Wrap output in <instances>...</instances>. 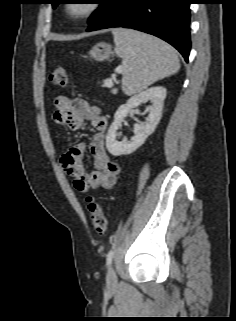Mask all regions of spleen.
Segmentation results:
<instances>
[{"mask_svg":"<svg viewBox=\"0 0 236 321\" xmlns=\"http://www.w3.org/2000/svg\"><path fill=\"white\" fill-rule=\"evenodd\" d=\"M115 53L123 60L122 90L135 95L178 72L176 51L164 41L130 29H113Z\"/></svg>","mask_w":236,"mask_h":321,"instance_id":"3e777b00","label":"spleen"}]
</instances>
